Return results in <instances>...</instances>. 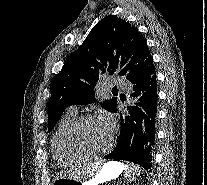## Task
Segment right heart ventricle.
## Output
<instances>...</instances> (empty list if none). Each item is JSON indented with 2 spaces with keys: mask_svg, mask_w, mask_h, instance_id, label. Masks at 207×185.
<instances>
[{
  "mask_svg": "<svg viewBox=\"0 0 207 185\" xmlns=\"http://www.w3.org/2000/svg\"><path fill=\"white\" fill-rule=\"evenodd\" d=\"M77 119L74 113L67 114L59 123L53 138L52 149L54 158L60 165H76L90 157L73 152L67 142V135L71 125Z\"/></svg>",
  "mask_w": 207,
  "mask_h": 185,
  "instance_id": "right-heart-ventricle-1",
  "label": "right heart ventricle"
}]
</instances>
